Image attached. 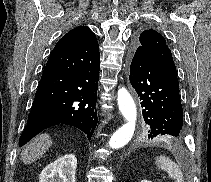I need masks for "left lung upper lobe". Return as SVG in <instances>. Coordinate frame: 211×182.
<instances>
[{"label":"left lung upper lobe","mask_w":211,"mask_h":182,"mask_svg":"<svg viewBox=\"0 0 211 182\" xmlns=\"http://www.w3.org/2000/svg\"><path fill=\"white\" fill-rule=\"evenodd\" d=\"M135 47L145 50L150 57L164 70L167 77L179 87L176 66L173 61L171 50L166 45L165 38L155 30L143 31Z\"/></svg>","instance_id":"obj_1"}]
</instances>
